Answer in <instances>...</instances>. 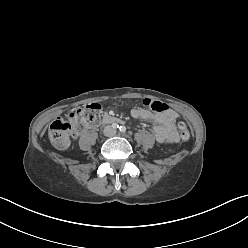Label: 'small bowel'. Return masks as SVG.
<instances>
[{"label": "small bowel", "mask_w": 248, "mask_h": 248, "mask_svg": "<svg viewBox=\"0 0 248 248\" xmlns=\"http://www.w3.org/2000/svg\"><path fill=\"white\" fill-rule=\"evenodd\" d=\"M131 116L148 121L152 133L160 143L173 144L180 139L175 128V120L178 118V114L172 109L152 114L146 109L135 108L131 110Z\"/></svg>", "instance_id": "1"}]
</instances>
